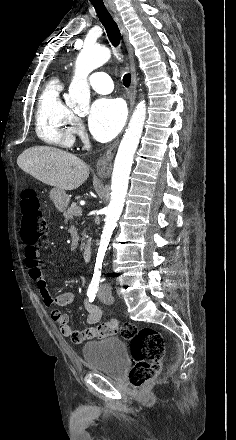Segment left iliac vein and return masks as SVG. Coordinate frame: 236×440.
<instances>
[{"label":"left iliac vein","instance_id":"left-iliac-vein-1","mask_svg":"<svg viewBox=\"0 0 236 440\" xmlns=\"http://www.w3.org/2000/svg\"><path fill=\"white\" fill-rule=\"evenodd\" d=\"M98 297L105 304H112L114 302V298L110 292L107 293H99Z\"/></svg>","mask_w":236,"mask_h":440}]
</instances>
